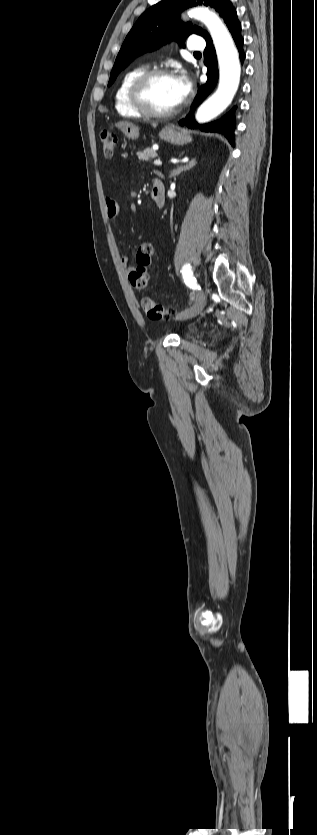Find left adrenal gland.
<instances>
[{"label": "left adrenal gland", "instance_id": "obj_1", "mask_svg": "<svg viewBox=\"0 0 317 835\" xmlns=\"http://www.w3.org/2000/svg\"><path fill=\"white\" fill-rule=\"evenodd\" d=\"M196 163H197L196 159H192L191 161L187 162L184 166H179L178 168L174 169L171 172L169 178L175 177V176L181 174V172H183V171L190 170L191 168H193L196 165Z\"/></svg>", "mask_w": 317, "mask_h": 835}]
</instances>
